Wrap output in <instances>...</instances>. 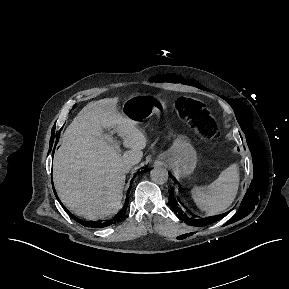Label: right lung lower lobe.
<instances>
[{
  "label": "right lung lower lobe",
  "mask_w": 289,
  "mask_h": 289,
  "mask_svg": "<svg viewBox=\"0 0 289 289\" xmlns=\"http://www.w3.org/2000/svg\"><path fill=\"white\" fill-rule=\"evenodd\" d=\"M145 171H148L147 170H142V171H139L136 175L140 174V173H143ZM135 175V176H136ZM135 176L133 177L132 181H131V184L135 178ZM131 188V186H130ZM129 191L130 189L128 190V193H127V196H126V201H125V204L123 206V208L121 209V211L115 215L112 219L110 220H107V221H93V222H87V221H83V220H80L79 218L75 217L72 213H70L64 206V209L65 211L74 219L76 220L78 223L82 224L83 226H86V227H92V228H101V227H106V226H110L112 224H116L118 222H121L123 219H124V215H125V210H126V207L129 203Z\"/></svg>",
  "instance_id": "1"
}]
</instances>
